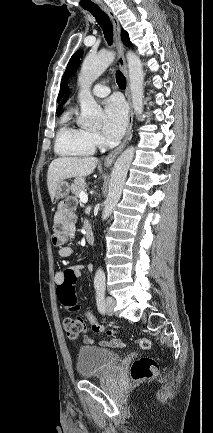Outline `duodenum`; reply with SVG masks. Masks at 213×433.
I'll return each instance as SVG.
<instances>
[{"label":"duodenum","mask_w":213,"mask_h":433,"mask_svg":"<svg viewBox=\"0 0 213 433\" xmlns=\"http://www.w3.org/2000/svg\"><path fill=\"white\" fill-rule=\"evenodd\" d=\"M85 239H86V242L90 245H92L95 241L94 235H93L92 231L90 230V228H88V227L85 228Z\"/></svg>","instance_id":"duodenum-1"}]
</instances>
